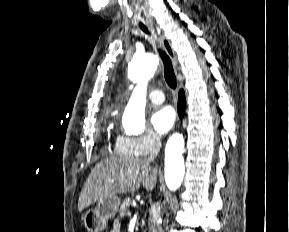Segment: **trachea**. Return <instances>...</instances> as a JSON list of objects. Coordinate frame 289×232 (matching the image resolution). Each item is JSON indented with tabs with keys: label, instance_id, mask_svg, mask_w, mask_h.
Here are the masks:
<instances>
[{
	"label": "trachea",
	"instance_id": "obj_1",
	"mask_svg": "<svg viewBox=\"0 0 289 232\" xmlns=\"http://www.w3.org/2000/svg\"><path fill=\"white\" fill-rule=\"evenodd\" d=\"M140 28L145 32L149 34V30L145 25H140ZM160 57L163 61L164 64V77L165 80L167 82V84L169 85V87H171L172 89L176 88L177 82H176V76L173 70V66H172V62L171 59L169 58V56L162 50H158Z\"/></svg>",
	"mask_w": 289,
	"mask_h": 232
}]
</instances>
